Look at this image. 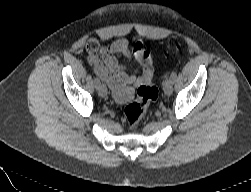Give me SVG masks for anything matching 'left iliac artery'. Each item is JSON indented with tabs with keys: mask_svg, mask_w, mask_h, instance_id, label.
Listing matches in <instances>:
<instances>
[{
	"mask_svg": "<svg viewBox=\"0 0 251 192\" xmlns=\"http://www.w3.org/2000/svg\"><path fill=\"white\" fill-rule=\"evenodd\" d=\"M176 76H177V72L176 71H173L170 75V78L173 80V82L175 81L176 79Z\"/></svg>",
	"mask_w": 251,
	"mask_h": 192,
	"instance_id": "1",
	"label": "left iliac artery"
}]
</instances>
